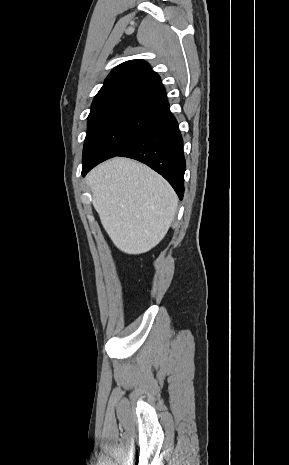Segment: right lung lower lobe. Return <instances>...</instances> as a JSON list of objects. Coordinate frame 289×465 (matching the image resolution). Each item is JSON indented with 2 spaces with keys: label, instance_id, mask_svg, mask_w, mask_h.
<instances>
[{
  "label": "right lung lower lobe",
  "instance_id": "obj_1",
  "mask_svg": "<svg viewBox=\"0 0 289 465\" xmlns=\"http://www.w3.org/2000/svg\"><path fill=\"white\" fill-rule=\"evenodd\" d=\"M164 112L117 156L136 159L161 174L182 200L186 162L183 139L168 102ZM104 160L83 162L82 175Z\"/></svg>",
  "mask_w": 289,
  "mask_h": 465
}]
</instances>
